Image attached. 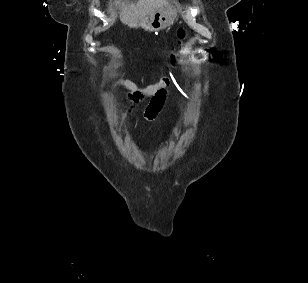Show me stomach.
Here are the masks:
<instances>
[{
  "mask_svg": "<svg viewBox=\"0 0 308 283\" xmlns=\"http://www.w3.org/2000/svg\"><path fill=\"white\" fill-rule=\"evenodd\" d=\"M177 18V9L173 5L163 7L151 15L128 24L130 28H142L145 31H160L172 25Z\"/></svg>",
  "mask_w": 308,
  "mask_h": 283,
  "instance_id": "1",
  "label": "stomach"
}]
</instances>
